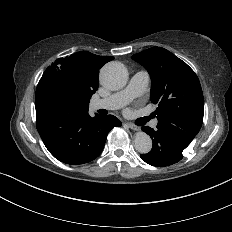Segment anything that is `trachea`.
<instances>
[{"label": "trachea", "instance_id": "1", "mask_svg": "<svg viewBox=\"0 0 232 232\" xmlns=\"http://www.w3.org/2000/svg\"><path fill=\"white\" fill-rule=\"evenodd\" d=\"M152 116L150 115L149 117H145L146 121H148L149 119H151Z\"/></svg>", "mask_w": 232, "mask_h": 232}]
</instances>
